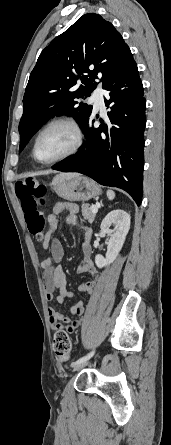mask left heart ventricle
<instances>
[{
	"label": "left heart ventricle",
	"instance_id": "obj_1",
	"mask_svg": "<svg viewBox=\"0 0 171 445\" xmlns=\"http://www.w3.org/2000/svg\"><path fill=\"white\" fill-rule=\"evenodd\" d=\"M73 140V133L68 127H53L41 136L37 144V156L43 161L54 159L67 151Z\"/></svg>",
	"mask_w": 171,
	"mask_h": 445
}]
</instances>
